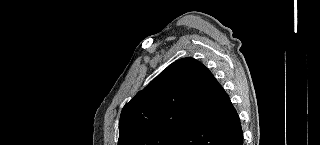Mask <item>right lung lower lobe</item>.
I'll use <instances>...</instances> for the list:
<instances>
[{
	"label": "right lung lower lobe",
	"instance_id": "1",
	"mask_svg": "<svg viewBox=\"0 0 320 145\" xmlns=\"http://www.w3.org/2000/svg\"><path fill=\"white\" fill-rule=\"evenodd\" d=\"M222 91L216 113L182 129L168 145H243L239 116L223 88Z\"/></svg>",
	"mask_w": 320,
	"mask_h": 145
}]
</instances>
